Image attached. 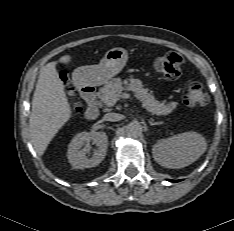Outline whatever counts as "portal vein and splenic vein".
<instances>
[{
    "label": "portal vein and splenic vein",
    "mask_w": 234,
    "mask_h": 231,
    "mask_svg": "<svg viewBox=\"0 0 234 231\" xmlns=\"http://www.w3.org/2000/svg\"><path fill=\"white\" fill-rule=\"evenodd\" d=\"M120 97L125 98V99H130L131 98L130 94H127V93H123ZM116 101H117L116 99H107L105 104L107 106H112V105H114L116 103Z\"/></svg>",
    "instance_id": "obj_1"
}]
</instances>
